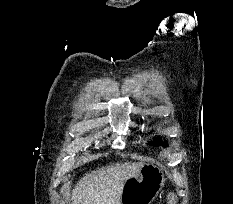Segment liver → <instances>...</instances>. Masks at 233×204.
I'll return each instance as SVG.
<instances>
[{
  "instance_id": "6515ba94",
  "label": "liver",
  "mask_w": 233,
  "mask_h": 204,
  "mask_svg": "<svg viewBox=\"0 0 233 204\" xmlns=\"http://www.w3.org/2000/svg\"><path fill=\"white\" fill-rule=\"evenodd\" d=\"M143 163H117L85 174L72 189L70 204H120L123 186Z\"/></svg>"
}]
</instances>
